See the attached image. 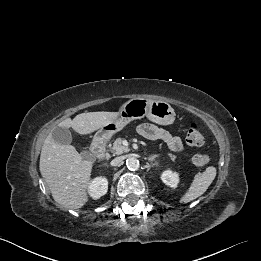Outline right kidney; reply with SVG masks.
Masks as SVG:
<instances>
[{"mask_svg":"<svg viewBox=\"0 0 261 261\" xmlns=\"http://www.w3.org/2000/svg\"><path fill=\"white\" fill-rule=\"evenodd\" d=\"M108 190V181L105 177H96L89 183L88 192L93 199H99Z\"/></svg>","mask_w":261,"mask_h":261,"instance_id":"right-kidney-1","label":"right kidney"}]
</instances>
